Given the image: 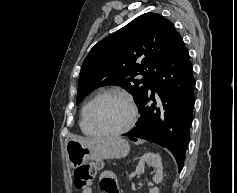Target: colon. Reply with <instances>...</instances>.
<instances>
[{"mask_svg":"<svg viewBox=\"0 0 237 193\" xmlns=\"http://www.w3.org/2000/svg\"><path fill=\"white\" fill-rule=\"evenodd\" d=\"M101 167V162H90L77 167L74 172V182L76 188L84 189L88 187Z\"/></svg>","mask_w":237,"mask_h":193,"instance_id":"1","label":"colon"}]
</instances>
